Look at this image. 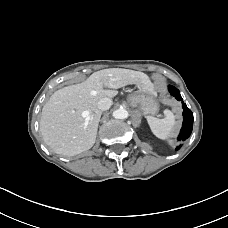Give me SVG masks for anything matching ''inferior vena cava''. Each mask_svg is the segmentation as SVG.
Instances as JSON below:
<instances>
[{"mask_svg":"<svg viewBox=\"0 0 228 228\" xmlns=\"http://www.w3.org/2000/svg\"><path fill=\"white\" fill-rule=\"evenodd\" d=\"M111 105H112V100L106 97L98 101L97 107L101 111H106L111 107Z\"/></svg>","mask_w":228,"mask_h":228,"instance_id":"inferior-vena-cava-1","label":"inferior vena cava"}]
</instances>
